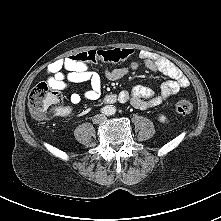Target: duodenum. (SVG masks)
Returning <instances> with one entry per match:
<instances>
[{"label":"duodenum","mask_w":221,"mask_h":221,"mask_svg":"<svg viewBox=\"0 0 221 221\" xmlns=\"http://www.w3.org/2000/svg\"><path fill=\"white\" fill-rule=\"evenodd\" d=\"M116 101V97L114 95H108L104 98V102L107 104H112Z\"/></svg>","instance_id":"1"}]
</instances>
